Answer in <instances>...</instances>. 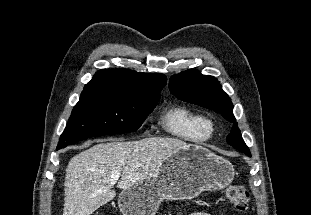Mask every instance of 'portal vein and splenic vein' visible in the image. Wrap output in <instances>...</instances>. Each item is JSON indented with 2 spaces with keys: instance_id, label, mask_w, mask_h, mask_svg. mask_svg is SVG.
Here are the masks:
<instances>
[{
  "instance_id": "obj_1",
  "label": "portal vein and splenic vein",
  "mask_w": 311,
  "mask_h": 215,
  "mask_svg": "<svg viewBox=\"0 0 311 215\" xmlns=\"http://www.w3.org/2000/svg\"><path fill=\"white\" fill-rule=\"evenodd\" d=\"M119 177H120V172L116 171V172L112 173L111 180L113 182H115V181H117L119 179Z\"/></svg>"
}]
</instances>
